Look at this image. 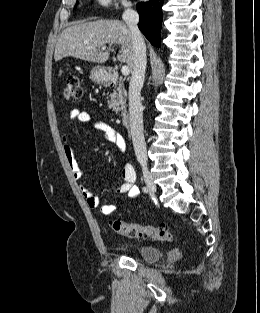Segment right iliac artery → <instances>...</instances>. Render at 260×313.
<instances>
[{
  "instance_id": "right-iliac-artery-1",
  "label": "right iliac artery",
  "mask_w": 260,
  "mask_h": 313,
  "mask_svg": "<svg viewBox=\"0 0 260 313\" xmlns=\"http://www.w3.org/2000/svg\"><path fill=\"white\" fill-rule=\"evenodd\" d=\"M136 189H137V192H138V188H137V187H136ZM143 191H144V192H147L148 189H147L146 187H143Z\"/></svg>"
}]
</instances>
